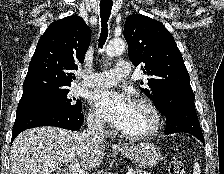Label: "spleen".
<instances>
[{
	"label": "spleen",
	"mask_w": 224,
	"mask_h": 174,
	"mask_svg": "<svg viewBox=\"0 0 224 174\" xmlns=\"http://www.w3.org/2000/svg\"><path fill=\"white\" fill-rule=\"evenodd\" d=\"M194 171H193V174H201V169H200V165L198 162H196L194 164V167H193Z\"/></svg>",
	"instance_id": "3e777b00"
}]
</instances>
